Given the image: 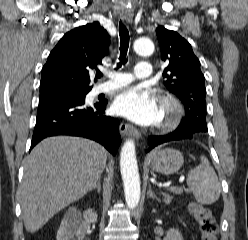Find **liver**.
I'll return each instance as SVG.
<instances>
[{
    "label": "liver",
    "instance_id": "6515ba94",
    "mask_svg": "<svg viewBox=\"0 0 248 240\" xmlns=\"http://www.w3.org/2000/svg\"><path fill=\"white\" fill-rule=\"evenodd\" d=\"M106 161V150L84 138L49 137L36 145L25 161L20 188L26 230L38 231L93 189Z\"/></svg>",
    "mask_w": 248,
    "mask_h": 240
}]
</instances>
